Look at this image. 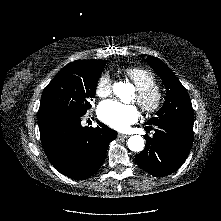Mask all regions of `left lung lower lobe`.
<instances>
[{
    "label": "left lung lower lobe",
    "mask_w": 221,
    "mask_h": 221,
    "mask_svg": "<svg viewBox=\"0 0 221 221\" xmlns=\"http://www.w3.org/2000/svg\"><path fill=\"white\" fill-rule=\"evenodd\" d=\"M153 137L135 156L139 167L156 177L175 172L184 163L193 143V122L166 121L156 124Z\"/></svg>",
    "instance_id": "left-lung-lower-lobe-1"
}]
</instances>
